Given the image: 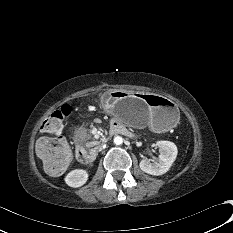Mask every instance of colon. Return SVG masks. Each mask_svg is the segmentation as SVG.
<instances>
[{"mask_svg":"<svg viewBox=\"0 0 233 233\" xmlns=\"http://www.w3.org/2000/svg\"><path fill=\"white\" fill-rule=\"evenodd\" d=\"M69 113L68 105L61 106L44 119L41 130L48 134L59 132ZM36 151L45 171L50 175L61 174L71 161L70 147L67 141L61 137L40 138L36 145Z\"/></svg>","mask_w":233,"mask_h":233,"instance_id":"obj_1","label":"colon"}]
</instances>
